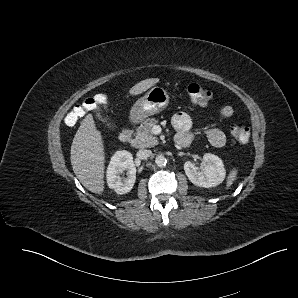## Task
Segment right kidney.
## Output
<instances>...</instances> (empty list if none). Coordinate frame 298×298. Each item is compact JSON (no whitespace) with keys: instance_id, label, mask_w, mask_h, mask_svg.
I'll return each instance as SVG.
<instances>
[{"instance_id":"obj_1","label":"right kidney","mask_w":298,"mask_h":298,"mask_svg":"<svg viewBox=\"0 0 298 298\" xmlns=\"http://www.w3.org/2000/svg\"><path fill=\"white\" fill-rule=\"evenodd\" d=\"M126 171L127 177L121 178L120 174ZM107 184L117 194H126L131 191L136 180V167L133 156L129 151H116L107 168Z\"/></svg>"}]
</instances>
